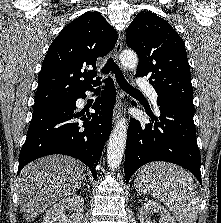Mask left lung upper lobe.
Here are the masks:
<instances>
[{
  "label": "left lung upper lobe",
  "mask_w": 221,
  "mask_h": 223,
  "mask_svg": "<svg viewBox=\"0 0 221 223\" xmlns=\"http://www.w3.org/2000/svg\"><path fill=\"white\" fill-rule=\"evenodd\" d=\"M126 43L139 57L136 77L149 75L158 101L194 109L191 74L182 38L151 12H140L126 32Z\"/></svg>",
  "instance_id": "5c2ea615"
}]
</instances>
